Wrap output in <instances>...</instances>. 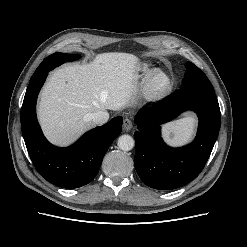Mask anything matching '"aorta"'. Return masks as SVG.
Segmentation results:
<instances>
[{
	"label": "aorta",
	"instance_id": "obj_1",
	"mask_svg": "<svg viewBox=\"0 0 247 247\" xmlns=\"http://www.w3.org/2000/svg\"><path fill=\"white\" fill-rule=\"evenodd\" d=\"M117 145L122 151H130L133 149L135 141L132 136L124 134L118 138Z\"/></svg>",
	"mask_w": 247,
	"mask_h": 247
}]
</instances>
